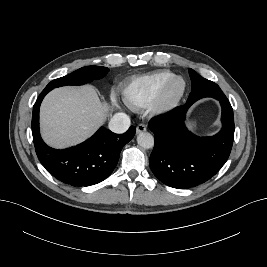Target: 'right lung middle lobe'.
Returning a JSON list of instances; mask_svg holds the SVG:
<instances>
[{"mask_svg": "<svg viewBox=\"0 0 267 267\" xmlns=\"http://www.w3.org/2000/svg\"><path fill=\"white\" fill-rule=\"evenodd\" d=\"M109 69L102 66H86L64 77L51 81L45 89L52 90L65 85H82L95 79L103 78Z\"/></svg>", "mask_w": 267, "mask_h": 267, "instance_id": "obj_1", "label": "right lung middle lobe"}]
</instances>
